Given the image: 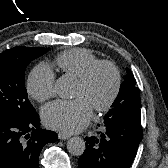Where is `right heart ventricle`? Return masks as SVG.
Instances as JSON below:
<instances>
[{"label":"right heart ventricle","instance_id":"e07e8e85","mask_svg":"<svg viewBox=\"0 0 168 168\" xmlns=\"http://www.w3.org/2000/svg\"><path fill=\"white\" fill-rule=\"evenodd\" d=\"M98 57L84 48H74L60 53L55 64L67 75L79 78Z\"/></svg>","mask_w":168,"mask_h":168}]
</instances>
